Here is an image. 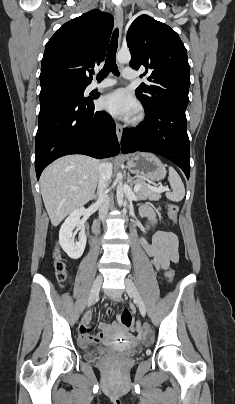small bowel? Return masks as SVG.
Returning a JSON list of instances; mask_svg holds the SVG:
<instances>
[{
    "instance_id": "small-bowel-1",
    "label": "small bowel",
    "mask_w": 235,
    "mask_h": 404,
    "mask_svg": "<svg viewBox=\"0 0 235 404\" xmlns=\"http://www.w3.org/2000/svg\"><path fill=\"white\" fill-rule=\"evenodd\" d=\"M141 214L147 218L148 226H152L154 213L150 208L144 207ZM142 246L146 253L152 258L154 266L159 270H166L171 264L178 262V239L171 232L158 231L152 238V243L149 244L143 237L141 239ZM107 315L112 314L110 308L106 311ZM93 328L89 323V315L79 325L80 341L83 345L89 343H103L109 345L113 340L118 339L119 335H125L126 330L122 329L120 323L113 322L112 324L100 323L99 332L92 334Z\"/></svg>"
}]
</instances>
